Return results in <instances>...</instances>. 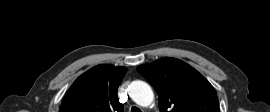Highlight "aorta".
<instances>
[{"instance_id":"obj_1","label":"aorta","mask_w":270,"mask_h":112,"mask_svg":"<svg viewBox=\"0 0 270 112\" xmlns=\"http://www.w3.org/2000/svg\"><path fill=\"white\" fill-rule=\"evenodd\" d=\"M129 94L132 100L142 106H149L154 99L151 87L143 81H133L129 86Z\"/></svg>"}]
</instances>
